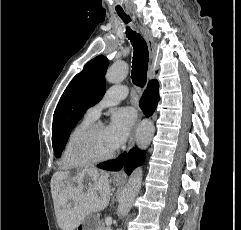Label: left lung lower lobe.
<instances>
[{
  "mask_svg": "<svg viewBox=\"0 0 241 230\" xmlns=\"http://www.w3.org/2000/svg\"><path fill=\"white\" fill-rule=\"evenodd\" d=\"M144 158V151L133 148L127 154L123 153L114 160L99 164L98 167L109 171H119L124 168L125 172L130 175L135 167L143 163Z\"/></svg>",
  "mask_w": 241,
  "mask_h": 230,
  "instance_id": "0a47b994",
  "label": "left lung lower lobe"
}]
</instances>
